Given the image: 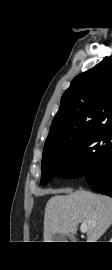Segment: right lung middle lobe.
Instances as JSON below:
<instances>
[{"label": "right lung middle lobe", "mask_w": 112, "mask_h": 270, "mask_svg": "<svg viewBox=\"0 0 112 270\" xmlns=\"http://www.w3.org/2000/svg\"><path fill=\"white\" fill-rule=\"evenodd\" d=\"M112 148V125L100 127L68 142L44 148L41 184L54 176L78 177L100 168Z\"/></svg>", "instance_id": "obj_1"}]
</instances>
